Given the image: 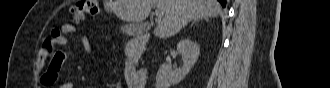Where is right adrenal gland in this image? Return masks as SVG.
Returning <instances> with one entry per match:
<instances>
[{"mask_svg": "<svg viewBox=\"0 0 330 88\" xmlns=\"http://www.w3.org/2000/svg\"><path fill=\"white\" fill-rule=\"evenodd\" d=\"M200 19H204L206 21H209V18L208 17H203V18H200ZM200 19H195L191 25H193L195 22L199 21Z\"/></svg>", "mask_w": 330, "mask_h": 88, "instance_id": "2a0ac1e0", "label": "right adrenal gland"}]
</instances>
